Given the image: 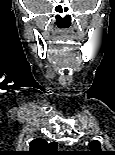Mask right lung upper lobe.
<instances>
[{"label": "right lung upper lobe", "instance_id": "right-lung-upper-lobe-1", "mask_svg": "<svg viewBox=\"0 0 115 155\" xmlns=\"http://www.w3.org/2000/svg\"><path fill=\"white\" fill-rule=\"evenodd\" d=\"M26 155H59L57 143H47L42 138H36L30 142V149Z\"/></svg>", "mask_w": 115, "mask_h": 155}]
</instances>
